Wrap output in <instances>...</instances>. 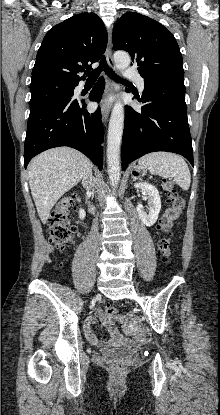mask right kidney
<instances>
[{
    "label": "right kidney",
    "instance_id": "1",
    "mask_svg": "<svg viewBox=\"0 0 220 415\" xmlns=\"http://www.w3.org/2000/svg\"><path fill=\"white\" fill-rule=\"evenodd\" d=\"M85 216H86V213H85L84 209H80L79 218L83 220L85 218Z\"/></svg>",
    "mask_w": 220,
    "mask_h": 415
}]
</instances>
